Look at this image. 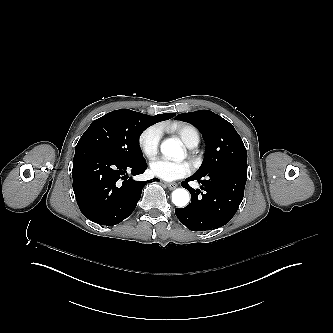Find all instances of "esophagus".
Listing matches in <instances>:
<instances>
[{"mask_svg":"<svg viewBox=\"0 0 333 333\" xmlns=\"http://www.w3.org/2000/svg\"><path fill=\"white\" fill-rule=\"evenodd\" d=\"M167 187L170 189V190H174L177 188V184L176 183H166Z\"/></svg>","mask_w":333,"mask_h":333,"instance_id":"esophagus-1","label":"esophagus"}]
</instances>
